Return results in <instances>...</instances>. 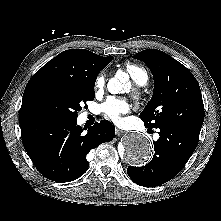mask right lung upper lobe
Segmentation results:
<instances>
[{
    "label": "right lung upper lobe",
    "instance_id": "1",
    "mask_svg": "<svg viewBox=\"0 0 221 221\" xmlns=\"http://www.w3.org/2000/svg\"><path fill=\"white\" fill-rule=\"evenodd\" d=\"M85 49H69L47 62L28 82L20 109V121L27 116L24 108L28 99L41 87L50 84H89L96 80L99 72L112 60Z\"/></svg>",
    "mask_w": 221,
    "mask_h": 221
}]
</instances>
